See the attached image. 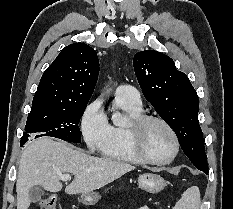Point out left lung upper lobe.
<instances>
[{"label": "left lung upper lobe", "instance_id": "obj_1", "mask_svg": "<svg viewBox=\"0 0 233 209\" xmlns=\"http://www.w3.org/2000/svg\"><path fill=\"white\" fill-rule=\"evenodd\" d=\"M133 66L145 98L176 133L185 155L199 170L208 168L198 96L187 75L169 56L155 50L138 52Z\"/></svg>", "mask_w": 233, "mask_h": 209}]
</instances>
